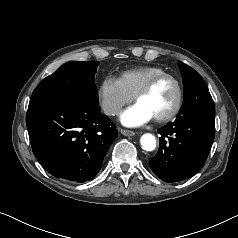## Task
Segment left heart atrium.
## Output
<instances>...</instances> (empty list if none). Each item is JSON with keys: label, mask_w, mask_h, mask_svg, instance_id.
Segmentation results:
<instances>
[{"label": "left heart atrium", "mask_w": 238, "mask_h": 238, "mask_svg": "<svg viewBox=\"0 0 238 238\" xmlns=\"http://www.w3.org/2000/svg\"><path fill=\"white\" fill-rule=\"evenodd\" d=\"M153 118V115L146 108H144L141 104L138 103L128 107L121 113L120 116L122 124L128 127L141 126L149 122Z\"/></svg>", "instance_id": "1"}]
</instances>
